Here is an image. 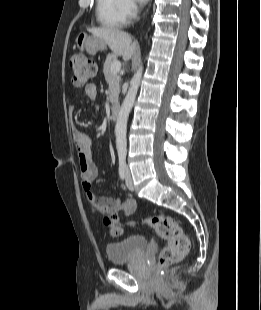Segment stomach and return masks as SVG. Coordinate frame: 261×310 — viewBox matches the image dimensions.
Wrapping results in <instances>:
<instances>
[{"label":"stomach","mask_w":261,"mask_h":310,"mask_svg":"<svg viewBox=\"0 0 261 310\" xmlns=\"http://www.w3.org/2000/svg\"><path fill=\"white\" fill-rule=\"evenodd\" d=\"M76 42L90 55H95L98 51L106 49V43L103 40L94 36H87L86 34L80 35Z\"/></svg>","instance_id":"stomach-1"}]
</instances>
